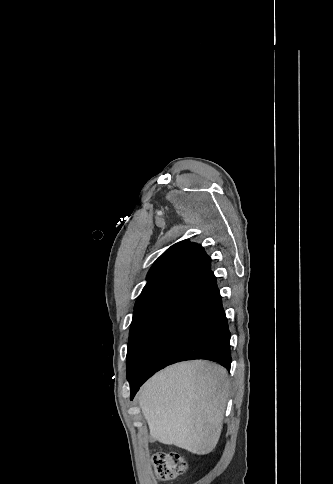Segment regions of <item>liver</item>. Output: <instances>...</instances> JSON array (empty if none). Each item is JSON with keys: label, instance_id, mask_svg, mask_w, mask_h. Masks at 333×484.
I'll list each match as a JSON object with an SVG mask.
<instances>
[{"label": "liver", "instance_id": "6515ba94", "mask_svg": "<svg viewBox=\"0 0 333 484\" xmlns=\"http://www.w3.org/2000/svg\"><path fill=\"white\" fill-rule=\"evenodd\" d=\"M228 387L226 369L202 360L155 374L138 394L151 437L193 454H208L220 438Z\"/></svg>", "mask_w": 333, "mask_h": 484}]
</instances>
